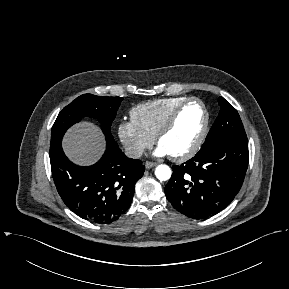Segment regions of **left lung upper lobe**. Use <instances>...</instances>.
Listing matches in <instances>:
<instances>
[{
    "mask_svg": "<svg viewBox=\"0 0 289 289\" xmlns=\"http://www.w3.org/2000/svg\"><path fill=\"white\" fill-rule=\"evenodd\" d=\"M220 112L210 129L200 151L220 138H239L247 140V136L237 110L224 98H219Z\"/></svg>",
    "mask_w": 289,
    "mask_h": 289,
    "instance_id": "left-lung-upper-lobe-1",
    "label": "left lung upper lobe"
}]
</instances>
